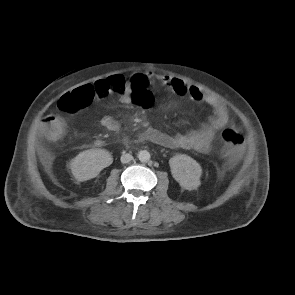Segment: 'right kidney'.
Returning a JSON list of instances; mask_svg holds the SVG:
<instances>
[{
    "label": "right kidney",
    "mask_w": 295,
    "mask_h": 295,
    "mask_svg": "<svg viewBox=\"0 0 295 295\" xmlns=\"http://www.w3.org/2000/svg\"><path fill=\"white\" fill-rule=\"evenodd\" d=\"M113 158L105 149H89L79 153L69 162L72 174L78 181L95 178L104 168L111 165Z\"/></svg>",
    "instance_id": "ca27d5eb"
}]
</instances>
